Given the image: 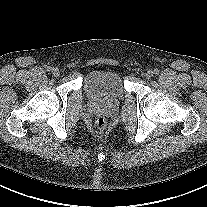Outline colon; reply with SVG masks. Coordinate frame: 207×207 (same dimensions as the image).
Returning a JSON list of instances; mask_svg holds the SVG:
<instances>
[{
    "label": "colon",
    "instance_id": "colon-1",
    "mask_svg": "<svg viewBox=\"0 0 207 207\" xmlns=\"http://www.w3.org/2000/svg\"><path fill=\"white\" fill-rule=\"evenodd\" d=\"M95 127L99 132H102L106 128V120L102 117H99L95 121Z\"/></svg>",
    "mask_w": 207,
    "mask_h": 207
}]
</instances>
